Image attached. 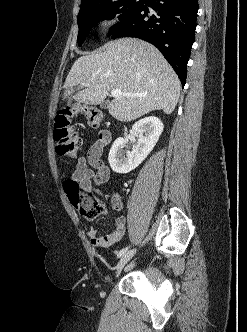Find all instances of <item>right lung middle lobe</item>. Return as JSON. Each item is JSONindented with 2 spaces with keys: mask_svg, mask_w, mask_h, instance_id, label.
Segmentation results:
<instances>
[{
  "mask_svg": "<svg viewBox=\"0 0 247 332\" xmlns=\"http://www.w3.org/2000/svg\"><path fill=\"white\" fill-rule=\"evenodd\" d=\"M144 2L145 0H102L80 10L77 17L79 26L78 45H82L91 27L95 26L100 20L112 19L119 14L118 18L122 22L137 12ZM114 28L110 30L109 35Z\"/></svg>",
  "mask_w": 247,
  "mask_h": 332,
  "instance_id": "1",
  "label": "right lung middle lobe"
}]
</instances>
